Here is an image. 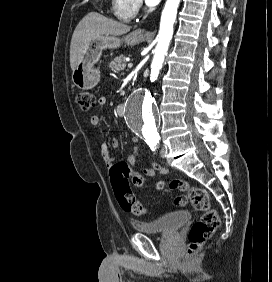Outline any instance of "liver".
<instances>
[{
	"label": "liver",
	"instance_id": "liver-1",
	"mask_svg": "<svg viewBox=\"0 0 272 282\" xmlns=\"http://www.w3.org/2000/svg\"><path fill=\"white\" fill-rule=\"evenodd\" d=\"M130 26L105 17L99 13H88L77 25L70 44V65L74 70L82 54L96 37L102 35L119 36L129 32Z\"/></svg>",
	"mask_w": 272,
	"mask_h": 282
}]
</instances>
